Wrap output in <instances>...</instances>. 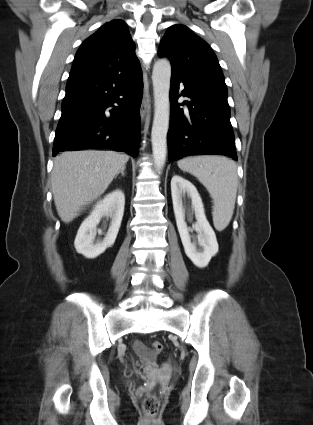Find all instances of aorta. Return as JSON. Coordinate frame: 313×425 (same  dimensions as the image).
Masks as SVG:
<instances>
[{
    "mask_svg": "<svg viewBox=\"0 0 313 425\" xmlns=\"http://www.w3.org/2000/svg\"><path fill=\"white\" fill-rule=\"evenodd\" d=\"M170 78V62L167 59L157 60L152 71L154 119L151 132L153 158L157 171L162 170L164 167L167 155V132L170 116Z\"/></svg>",
    "mask_w": 313,
    "mask_h": 425,
    "instance_id": "aorta-1",
    "label": "aorta"
}]
</instances>
